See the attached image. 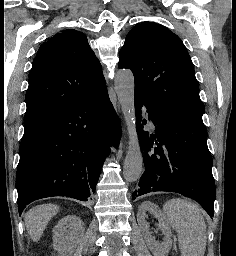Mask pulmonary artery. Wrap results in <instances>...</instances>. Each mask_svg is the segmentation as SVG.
<instances>
[{"instance_id":"obj_1","label":"pulmonary artery","mask_w":236,"mask_h":256,"mask_svg":"<svg viewBox=\"0 0 236 256\" xmlns=\"http://www.w3.org/2000/svg\"><path fill=\"white\" fill-rule=\"evenodd\" d=\"M143 112H144V114H145L147 117H149V113H148L146 107H143Z\"/></svg>"}]
</instances>
